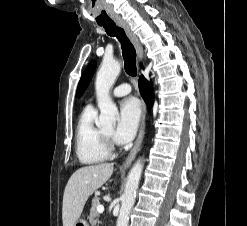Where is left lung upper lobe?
I'll use <instances>...</instances> for the list:
<instances>
[{"label":"left lung upper lobe","mask_w":247,"mask_h":226,"mask_svg":"<svg viewBox=\"0 0 247 226\" xmlns=\"http://www.w3.org/2000/svg\"><path fill=\"white\" fill-rule=\"evenodd\" d=\"M95 67H96V62L92 61L89 63V65L85 69L84 73L82 74L81 80L79 81V84H78V88L76 91L77 97H80L84 93V91L86 90V88H87V86L91 80V77L94 73Z\"/></svg>","instance_id":"5c2ea615"}]
</instances>
